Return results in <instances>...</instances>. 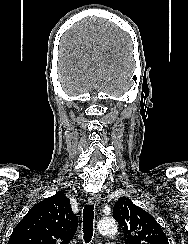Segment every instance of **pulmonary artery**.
Returning a JSON list of instances; mask_svg holds the SVG:
<instances>
[{
	"label": "pulmonary artery",
	"mask_w": 188,
	"mask_h": 244,
	"mask_svg": "<svg viewBox=\"0 0 188 244\" xmlns=\"http://www.w3.org/2000/svg\"><path fill=\"white\" fill-rule=\"evenodd\" d=\"M106 244H114V243H112V242H109V243H106Z\"/></svg>",
	"instance_id": "obj_1"
}]
</instances>
